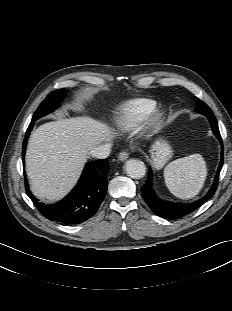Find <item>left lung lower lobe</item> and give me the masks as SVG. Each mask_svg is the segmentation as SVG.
I'll use <instances>...</instances> for the list:
<instances>
[{"label": "left lung lower lobe", "instance_id": "1", "mask_svg": "<svg viewBox=\"0 0 232 311\" xmlns=\"http://www.w3.org/2000/svg\"><path fill=\"white\" fill-rule=\"evenodd\" d=\"M201 114L205 115L211 124V128L215 136L221 141V135L218 129V124L216 121V118L212 111H205L201 112ZM221 161L218 166V170L216 172L214 182L208 193L201 198L200 200L191 203V204H175V203H169L166 201H163L159 199L152 189V171L151 168H149L148 172V178L144 186L141 188V193L143 195V198L145 199L147 205L150 207V209L158 216L165 218V219H178L181 218L196 208H198L200 205H202L204 202H206L212 195H214L217 185H218V179L219 174L221 171V168L223 166V146H221Z\"/></svg>", "mask_w": 232, "mask_h": 311}]
</instances>
